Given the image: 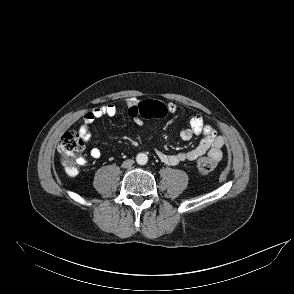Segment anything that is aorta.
Returning <instances> with one entry per match:
<instances>
[{
    "instance_id": "762f6f07",
    "label": "aorta",
    "mask_w": 294,
    "mask_h": 294,
    "mask_svg": "<svg viewBox=\"0 0 294 294\" xmlns=\"http://www.w3.org/2000/svg\"><path fill=\"white\" fill-rule=\"evenodd\" d=\"M136 161L139 165H145L148 162V156L145 153H139L136 156Z\"/></svg>"
}]
</instances>
